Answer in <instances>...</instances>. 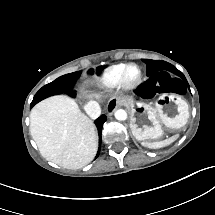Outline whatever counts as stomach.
I'll return each mask as SVG.
<instances>
[{
    "instance_id": "obj_1",
    "label": "stomach",
    "mask_w": 215,
    "mask_h": 215,
    "mask_svg": "<svg viewBox=\"0 0 215 215\" xmlns=\"http://www.w3.org/2000/svg\"><path fill=\"white\" fill-rule=\"evenodd\" d=\"M121 102L130 111V129L139 141L152 142L177 134L189 119L188 104L178 95L163 94L154 103L136 101L132 97H125Z\"/></svg>"
}]
</instances>
